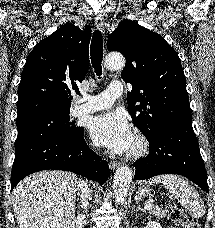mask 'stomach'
<instances>
[{"instance_id": "stomach-1", "label": "stomach", "mask_w": 215, "mask_h": 228, "mask_svg": "<svg viewBox=\"0 0 215 228\" xmlns=\"http://www.w3.org/2000/svg\"><path fill=\"white\" fill-rule=\"evenodd\" d=\"M140 194H142V196H148L149 192H151L150 188H148V186H142V188H140L139 190Z\"/></svg>"}]
</instances>
